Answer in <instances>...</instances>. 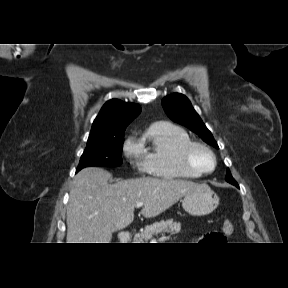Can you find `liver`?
Segmentation results:
<instances>
[{"mask_svg":"<svg viewBox=\"0 0 288 288\" xmlns=\"http://www.w3.org/2000/svg\"><path fill=\"white\" fill-rule=\"evenodd\" d=\"M111 174L82 169L71 183L67 206V243H110L112 234L130 225L138 202L141 214L156 217L198 184L177 179L137 178L109 184Z\"/></svg>","mask_w":288,"mask_h":288,"instance_id":"6515ba94","label":"liver"}]
</instances>
